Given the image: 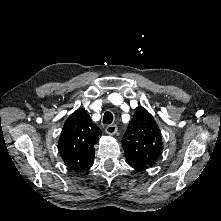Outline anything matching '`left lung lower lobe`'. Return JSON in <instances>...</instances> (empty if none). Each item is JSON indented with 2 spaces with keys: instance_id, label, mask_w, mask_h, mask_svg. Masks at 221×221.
<instances>
[{
  "instance_id": "1",
  "label": "left lung lower lobe",
  "mask_w": 221,
  "mask_h": 221,
  "mask_svg": "<svg viewBox=\"0 0 221 221\" xmlns=\"http://www.w3.org/2000/svg\"><path fill=\"white\" fill-rule=\"evenodd\" d=\"M127 162H128V164H129L132 168L138 170L137 167H136V165H135L134 163H132V162H130V161H127Z\"/></svg>"
}]
</instances>
